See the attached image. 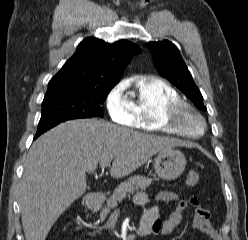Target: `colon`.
I'll return each instance as SVG.
<instances>
[{"label": "colon", "instance_id": "5ec220e1", "mask_svg": "<svg viewBox=\"0 0 248 240\" xmlns=\"http://www.w3.org/2000/svg\"><path fill=\"white\" fill-rule=\"evenodd\" d=\"M199 180V175L195 171H190L186 177V184L188 186H194Z\"/></svg>", "mask_w": 248, "mask_h": 240}]
</instances>
